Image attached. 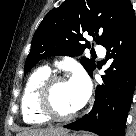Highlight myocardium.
<instances>
[{
    "instance_id": "obj_1",
    "label": "myocardium",
    "mask_w": 136,
    "mask_h": 136,
    "mask_svg": "<svg viewBox=\"0 0 136 136\" xmlns=\"http://www.w3.org/2000/svg\"><path fill=\"white\" fill-rule=\"evenodd\" d=\"M67 79L61 75H50L42 84L39 93H38V108L41 114L46 117L48 120L58 121V122H65L74 119L79 110L67 114V115H60L58 114L53 106H52V91L56 84L61 82H66Z\"/></svg>"
}]
</instances>
